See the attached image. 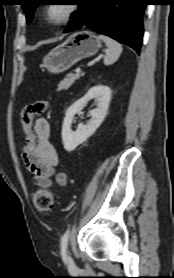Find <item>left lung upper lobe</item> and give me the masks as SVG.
<instances>
[{"mask_svg":"<svg viewBox=\"0 0 174 278\" xmlns=\"http://www.w3.org/2000/svg\"><path fill=\"white\" fill-rule=\"evenodd\" d=\"M40 1L41 0H23V3L21 4V6H22L24 12L26 13V18H27V23L28 24L32 21V18H33V15H34V10L36 9V7L38 5H40V3H39ZM74 2H76L75 3L76 5H79V9H80L84 0H74ZM77 11L72 14L71 19H74Z\"/></svg>","mask_w":174,"mask_h":278,"instance_id":"left-lung-upper-lobe-1","label":"left lung upper lobe"}]
</instances>
